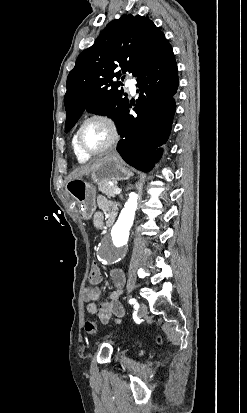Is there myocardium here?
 Instances as JSON below:
<instances>
[{
	"instance_id": "obj_1",
	"label": "myocardium",
	"mask_w": 247,
	"mask_h": 413,
	"mask_svg": "<svg viewBox=\"0 0 247 413\" xmlns=\"http://www.w3.org/2000/svg\"><path fill=\"white\" fill-rule=\"evenodd\" d=\"M94 122H99V123H104L106 125H108L111 128V138L109 140V142L104 145L102 148L95 150V151H91L86 149L82 143H81V133L83 131V129L88 126L91 123ZM76 146L78 148V150L80 151V153H82L84 156L90 158V157H94V156H98L101 155L103 153H105L106 151H108L109 149L113 148L119 141L120 139V129L118 124L116 123V121L111 118L110 116L106 115V114H94L91 117H89L88 119H86L82 125L78 128L77 132H76Z\"/></svg>"
}]
</instances>
